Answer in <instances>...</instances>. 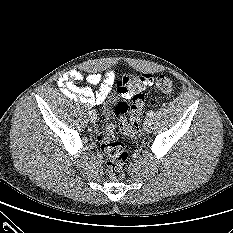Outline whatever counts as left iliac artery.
Instances as JSON below:
<instances>
[{
  "label": "left iliac artery",
  "instance_id": "1",
  "mask_svg": "<svg viewBox=\"0 0 233 233\" xmlns=\"http://www.w3.org/2000/svg\"><path fill=\"white\" fill-rule=\"evenodd\" d=\"M153 115H154V112H153V111H149V112L147 113V116H148V117H153Z\"/></svg>",
  "mask_w": 233,
  "mask_h": 233
}]
</instances>
